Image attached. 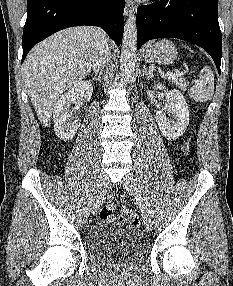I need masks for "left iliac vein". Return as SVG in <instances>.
<instances>
[{
  "mask_svg": "<svg viewBox=\"0 0 233 286\" xmlns=\"http://www.w3.org/2000/svg\"><path fill=\"white\" fill-rule=\"evenodd\" d=\"M123 186L125 187L128 194L133 196L137 200L139 205L141 206L143 222H144L146 229L149 231L152 230L153 223H152L151 215L149 213L148 208L142 201L139 188L137 186V183L132 173H128L125 175L123 179Z\"/></svg>",
  "mask_w": 233,
  "mask_h": 286,
  "instance_id": "4c4485c4",
  "label": "left iliac vein"
}]
</instances>
